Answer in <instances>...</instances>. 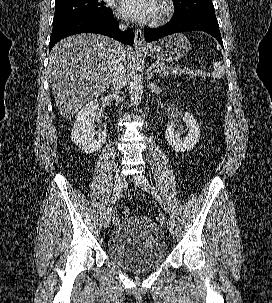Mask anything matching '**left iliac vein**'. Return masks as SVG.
I'll use <instances>...</instances> for the list:
<instances>
[{
    "mask_svg": "<svg viewBox=\"0 0 272 303\" xmlns=\"http://www.w3.org/2000/svg\"><path fill=\"white\" fill-rule=\"evenodd\" d=\"M133 180L135 184L143 191L149 192L150 191V183L148 179L141 173L136 174L133 176ZM168 229L171 235L175 234V230L171 225H168Z\"/></svg>",
    "mask_w": 272,
    "mask_h": 303,
    "instance_id": "4c4485c4",
    "label": "left iliac vein"
}]
</instances>
